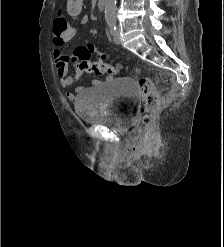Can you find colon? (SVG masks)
I'll use <instances>...</instances> for the list:
<instances>
[{"label":"colon","mask_w":224,"mask_h":247,"mask_svg":"<svg viewBox=\"0 0 224 247\" xmlns=\"http://www.w3.org/2000/svg\"><path fill=\"white\" fill-rule=\"evenodd\" d=\"M75 35V26L61 14L58 15L53 22V38L62 42H68L73 39ZM93 54H97L98 56L95 61L91 60ZM71 59L79 72L94 75H115L121 71V66L115 65L105 54L98 52L93 45L78 47L74 51ZM138 86L143 102V112L138 129L143 131L152 122L155 116L159 96L154 83L149 78H139Z\"/></svg>","instance_id":"5ec220e1"}]
</instances>
